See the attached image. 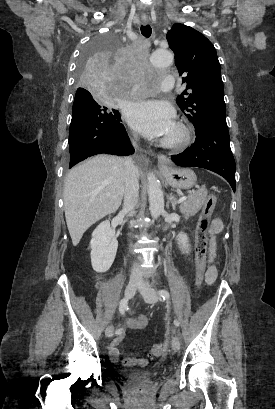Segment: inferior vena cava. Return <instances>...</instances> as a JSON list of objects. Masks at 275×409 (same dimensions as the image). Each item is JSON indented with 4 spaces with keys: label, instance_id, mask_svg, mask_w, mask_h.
<instances>
[{
    "label": "inferior vena cava",
    "instance_id": "1",
    "mask_svg": "<svg viewBox=\"0 0 275 409\" xmlns=\"http://www.w3.org/2000/svg\"><path fill=\"white\" fill-rule=\"evenodd\" d=\"M138 168L133 164L132 158L127 156L125 158V184H124V205L123 213H130L133 211L139 196V182H138ZM131 281L136 283H142V273L137 267V263H134L133 269L130 275Z\"/></svg>",
    "mask_w": 275,
    "mask_h": 409
}]
</instances>
